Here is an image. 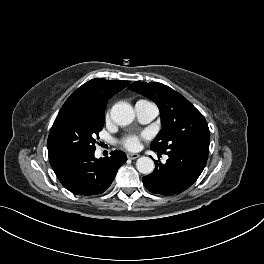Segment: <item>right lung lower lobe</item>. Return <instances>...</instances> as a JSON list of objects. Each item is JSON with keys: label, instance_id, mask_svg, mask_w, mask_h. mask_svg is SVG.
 Segmentation results:
<instances>
[{"label": "right lung lower lobe", "instance_id": "1", "mask_svg": "<svg viewBox=\"0 0 264 264\" xmlns=\"http://www.w3.org/2000/svg\"><path fill=\"white\" fill-rule=\"evenodd\" d=\"M94 152L73 154L50 162L61 184L70 192L76 195L103 193L127 160L125 153L119 150L100 159L94 157Z\"/></svg>", "mask_w": 264, "mask_h": 264}]
</instances>
